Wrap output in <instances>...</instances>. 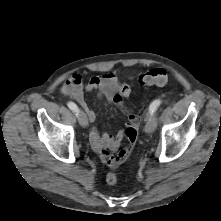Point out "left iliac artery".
Instances as JSON below:
<instances>
[{"label":"left iliac artery","instance_id":"1","mask_svg":"<svg viewBox=\"0 0 221 221\" xmlns=\"http://www.w3.org/2000/svg\"><path fill=\"white\" fill-rule=\"evenodd\" d=\"M161 103H162L161 100H158V99H157V100H154V101L151 103L150 107H149L150 113H151V114L155 113L156 110H157V108L160 106Z\"/></svg>","mask_w":221,"mask_h":221}]
</instances>
